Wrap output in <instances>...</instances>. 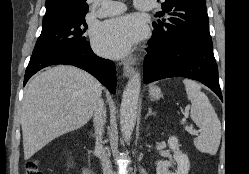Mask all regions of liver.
Instances as JSON below:
<instances>
[{
    "mask_svg": "<svg viewBox=\"0 0 249 174\" xmlns=\"http://www.w3.org/2000/svg\"><path fill=\"white\" fill-rule=\"evenodd\" d=\"M101 94L102 85L74 66L58 65L36 75L28 84L21 112L24 159L84 126Z\"/></svg>",
    "mask_w": 249,
    "mask_h": 174,
    "instance_id": "liver-1",
    "label": "liver"
}]
</instances>
